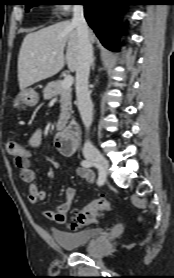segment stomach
I'll return each mask as SVG.
<instances>
[{
	"instance_id": "stomach-1",
	"label": "stomach",
	"mask_w": 174,
	"mask_h": 278,
	"mask_svg": "<svg viewBox=\"0 0 174 278\" xmlns=\"http://www.w3.org/2000/svg\"><path fill=\"white\" fill-rule=\"evenodd\" d=\"M39 96L34 89H24L14 100V107L20 108L21 104L26 106H35L38 103Z\"/></svg>"
}]
</instances>
